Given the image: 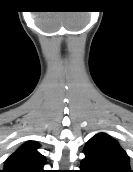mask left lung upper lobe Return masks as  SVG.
I'll use <instances>...</instances> for the list:
<instances>
[{"instance_id":"5c2ea615","label":"left lung upper lobe","mask_w":133,"mask_h":172,"mask_svg":"<svg viewBox=\"0 0 133 172\" xmlns=\"http://www.w3.org/2000/svg\"><path fill=\"white\" fill-rule=\"evenodd\" d=\"M84 154L80 172H133L126 152L105 133L93 136L86 143Z\"/></svg>"}]
</instances>
